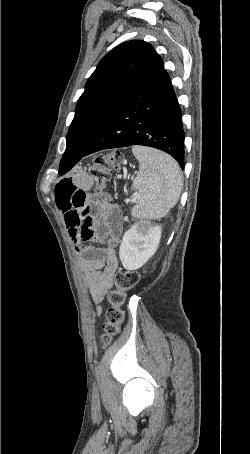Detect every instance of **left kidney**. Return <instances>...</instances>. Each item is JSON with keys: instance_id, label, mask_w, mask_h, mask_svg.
Returning <instances> with one entry per match:
<instances>
[{"instance_id": "obj_1", "label": "left kidney", "mask_w": 250, "mask_h": 454, "mask_svg": "<svg viewBox=\"0 0 250 454\" xmlns=\"http://www.w3.org/2000/svg\"><path fill=\"white\" fill-rule=\"evenodd\" d=\"M162 229L155 225L145 227L134 224L123 236L119 258L126 270H136L142 267L156 252Z\"/></svg>"}]
</instances>
